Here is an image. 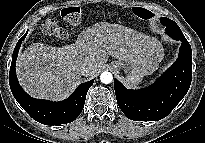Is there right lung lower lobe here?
<instances>
[{
    "label": "right lung lower lobe",
    "mask_w": 205,
    "mask_h": 143,
    "mask_svg": "<svg viewBox=\"0 0 205 143\" xmlns=\"http://www.w3.org/2000/svg\"><path fill=\"white\" fill-rule=\"evenodd\" d=\"M25 35L17 42L12 55L9 85L13 96L23 109L37 122L44 125H60L74 121L82 112L86 94L94 80L78 86L76 91L62 102H52L30 97L18 83L15 71L16 59Z\"/></svg>",
    "instance_id": "obj_1"
}]
</instances>
